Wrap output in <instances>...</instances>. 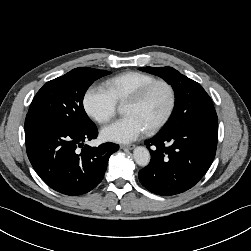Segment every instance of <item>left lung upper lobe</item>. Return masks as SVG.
<instances>
[{
    "instance_id": "1",
    "label": "left lung upper lobe",
    "mask_w": 251,
    "mask_h": 251,
    "mask_svg": "<svg viewBox=\"0 0 251 251\" xmlns=\"http://www.w3.org/2000/svg\"><path fill=\"white\" fill-rule=\"evenodd\" d=\"M142 71H146L160 76L172 85L175 91L176 105L173 114L161 132H167L177 128L183 122L187 121L189 112L194 108L199 99L209 98L208 94L202 86L192 79L179 73L171 67H142Z\"/></svg>"
}]
</instances>
